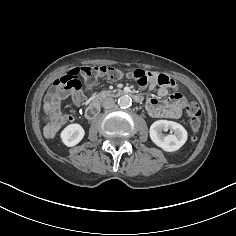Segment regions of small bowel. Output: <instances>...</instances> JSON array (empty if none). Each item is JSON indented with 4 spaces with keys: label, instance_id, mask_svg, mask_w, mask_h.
I'll return each instance as SVG.
<instances>
[{
    "label": "small bowel",
    "instance_id": "1",
    "mask_svg": "<svg viewBox=\"0 0 236 236\" xmlns=\"http://www.w3.org/2000/svg\"><path fill=\"white\" fill-rule=\"evenodd\" d=\"M147 74L150 76V78L146 85L149 84L150 86H157V93L162 98L161 100L154 97H148L146 99V109L148 113L155 118H179L183 109L187 105V101L176 89L170 96H168L169 87L176 88V83L174 80L164 74H157L153 72H148ZM66 96H71L74 104L77 107L86 103L88 99L87 89L84 88L68 91L63 98ZM60 101L61 99L54 100L49 96L46 98L43 105L44 135L48 139H53L65 124L74 120L73 116L60 112Z\"/></svg>",
    "mask_w": 236,
    "mask_h": 236
}]
</instances>
